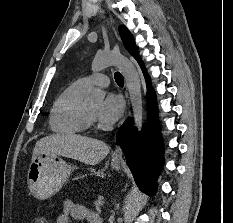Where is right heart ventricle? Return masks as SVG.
Wrapping results in <instances>:
<instances>
[{
    "instance_id": "obj_1",
    "label": "right heart ventricle",
    "mask_w": 233,
    "mask_h": 223,
    "mask_svg": "<svg viewBox=\"0 0 233 223\" xmlns=\"http://www.w3.org/2000/svg\"><path fill=\"white\" fill-rule=\"evenodd\" d=\"M87 88L80 81L67 85L55 99L49 115V127L58 135H77L85 129L81 112Z\"/></svg>"
}]
</instances>
